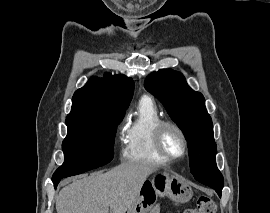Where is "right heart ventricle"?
I'll return each instance as SVG.
<instances>
[{"mask_svg": "<svg viewBox=\"0 0 270 213\" xmlns=\"http://www.w3.org/2000/svg\"><path fill=\"white\" fill-rule=\"evenodd\" d=\"M163 117L153 101L143 97L129 119L124 137L123 155L131 162L165 163L167 162L155 149L154 131Z\"/></svg>", "mask_w": 270, "mask_h": 213, "instance_id": "e07e8e85", "label": "right heart ventricle"}]
</instances>
